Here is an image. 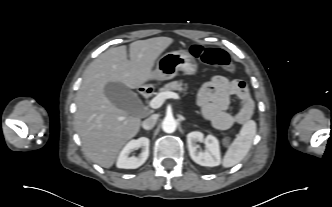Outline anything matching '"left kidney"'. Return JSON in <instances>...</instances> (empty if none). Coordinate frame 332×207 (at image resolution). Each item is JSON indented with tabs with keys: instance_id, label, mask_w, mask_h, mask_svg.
I'll list each match as a JSON object with an SVG mask.
<instances>
[{
	"instance_id": "1",
	"label": "left kidney",
	"mask_w": 332,
	"mask_h": 207,
	"mask_svg": "<svg viewBox=\"0 0 332 207\" xmlns=\"http://www.w3.org/2000/svg\"><path fill=\"white\" fill-rule=\"evenodd\" d=\"M197 142H203L206 146V151H199ZM187 143L190 157L195 163L209 167L220 165V147L216 137L208 135L204 138L203 133L193 131L187 135Z\"/></svg>"
}]
</instances>
